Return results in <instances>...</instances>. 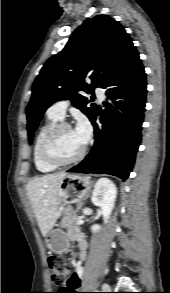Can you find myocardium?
Returning <instances> with one entry per match:
<instances>
[{
    "label": "myocardium",
    "mask_w": 170,
    "mask_h": 293,
    "mask_svg": "<svg viewBox=\"0 0 170 293\" xmlns=\"http://www.w3.org/2000/svg\"><path fill=\"white\" fill-rule=\"evenodd\" d=\"M63 128H70L72 129V126L64 121L57 122L54 124L44 135L41 145H40V155L41 158L48 164L59 167V166H65L72 163L77 162L80 160L86 153V145L83 144V147L81 151L75 155L74 157L67 159V160H61L55 157L51 152V146L54 141V138L56 134Z\"/></svg>",
    "instance_id": "myocardium-1"
}]
</instances>
